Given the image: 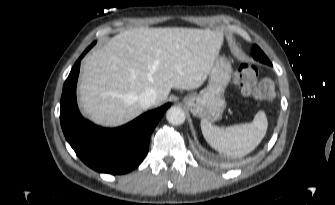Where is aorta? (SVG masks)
<instances>
[{"label": "aorta", "instance_id": "aorta-1", "mask_svg": "<svg viewBox=\"0 0 335 205\" xmlns=\"http://www.w3.org/2000/svg\"><path fill=\"white\" fill-rule=\"evenodd\" d=\"M186 118L185 112L180 107L173 106L166 112V119L173 125H181Z\"/></svg>", "mask_w": 335, "mask_h": 205}]
</instances>
